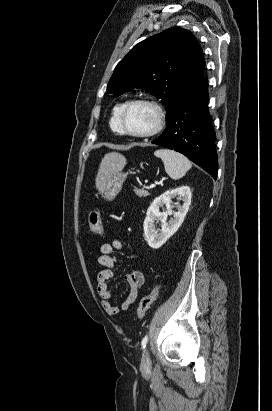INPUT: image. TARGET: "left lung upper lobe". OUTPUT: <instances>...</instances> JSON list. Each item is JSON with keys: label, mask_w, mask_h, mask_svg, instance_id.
<instances>
[{"label": "left lung upper lobe", "mask_w": 272, "mask_h": 411, "mask_svg": "<svg viewBox=\"0 0 272 411\" xmlns=\"http://www.w3.org/2000/svg\"><path fill=\"white\" fill-rule=\"evenodd\" d=\"M205 61L197 39L173 27L138 43L117 64L107 91L119 96L132 88L152 92L166 107V122L179 105L200 89Z\"/></svg>", "instance_id": "5c2ea615"}]
</instances>
